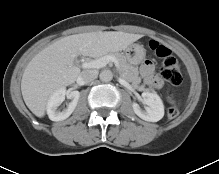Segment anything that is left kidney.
Returning <instances> with one entry per match:
<instances>
[{"mask_svg":"<svg viewBox=\"0 0 219 174\" xmlns=\"http://www.w3.org/2000/svg\"><path fill=\"white\" fill-rule=\"evenodd\" d=\"M143 103L146 105L142 110L137 103H133L132 107L135 114L141 119L149 122H157L164 116V105L161 98L156 93L143 92Z\"/></svg>","mask_w":219,"mask_h":174,"instance_id":"left-kidney-1","label":"left kidney"}]
</instances>
